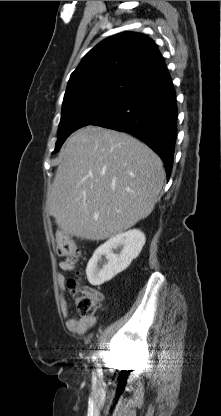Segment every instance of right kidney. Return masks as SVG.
Returning a JSON list of instances; mask_svg holds the SVG:
<instances>
[{
  "mask_svg": "<svg viewBox=\"0 0 221 416\" xmlns=\"http://www.w3.org/2000/svg\"><path fill=\"white\" fill-rule=\"evenodd\" d=\"M146 238L143 232L132 229L111 237L99 246L86 268V275L91 285L98 286L111 280L118 273L125 270L135 259L145 244ZM122 247L118 254L113 249ZM105 256L106 260L102 259Z\"/></svg>",
  "mask_w": 221,
  "mask_h": 416,
  "instance_id": "ca27d5eb",
  "label": "right kidney"
}]
</instances>
